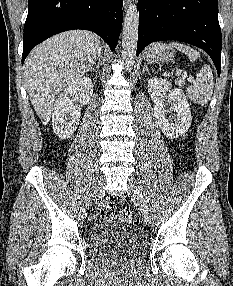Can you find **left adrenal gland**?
Returning a JSON list of instances; mask_svg holds the SVG:
<instances>
[{
	"instance_id": "left-adrenal-gland-1",
	"label": "left adrenal gland",
	"mask_w": 233,
	"mask_h": 286,
	"mask_svg": "<svg viewBox=\"0 0 233 286\" xmlns=\"http://www.w3.org/2000/svg\"><path fill=\"white\" fill-rule=\"evenodd\" d=\"M142 72L144 73V72H150V70L148 69V65L147 64H144V67H143V70H142Z\"/></svg>"
}]
</instances>
